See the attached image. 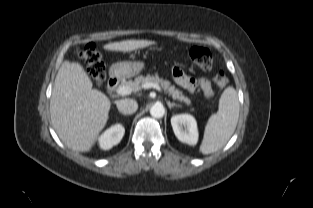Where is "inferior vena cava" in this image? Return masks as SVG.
<instances>
[{"mask_svg": "<svg viewBox=\"0 0 313 208\" xmlns=\"http://www.w3.org/2000/svg\"><path fill=\"white\" fill-rule=\"evenodd\" d=\"M117 108L122 114H133L138 109V104L133 99H121L116 102Z\"/></svg>", "mask_w": 313, "mask_h": 208, "instance_id": "obj_1", "label": "inferior vena cava"}]
</instances>
